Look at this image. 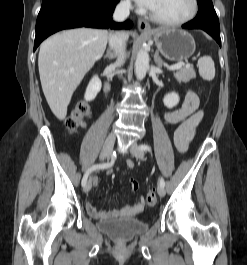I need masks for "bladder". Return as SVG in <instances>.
<instances>
[{
	"mask_svg": "<svg viewBox=\"0 0 247 265\" xmlns=\"http://www.w3.org/2000/svg\"><path fill=\"white\" fill-rule=\"evenodd\" d=\"M98 227L101 232L114 240L127 241L144 233L148 224L140 219L119 218L102 220L98 223Z\"/></svg>",
	"mask_w": 247,
	"mask_h": 265,
	"instance_id": "31cf9c89",
	"label": "bladder"
}]
</instances>
